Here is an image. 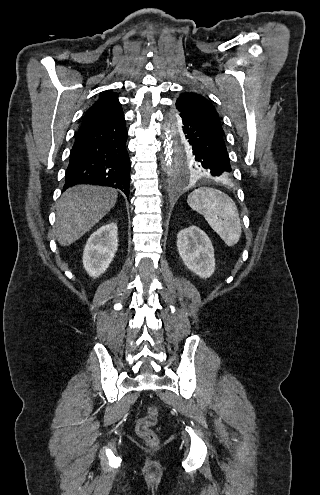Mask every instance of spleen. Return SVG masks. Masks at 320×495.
<instances>
[{
	"label": "spleen",
	"instance_id": "3e777b00",
	"mask_svg": "<svg viewBox=\"0 0 320 495\" xmlns=\"http://www.w3.org/2000/svg\"><path fill=\"white\" fill-rule=\"evenodd\" d=\"M187 203L204 216L227 246L238 243L242 233L239 213L228 195L217 189L201 187L190 193Z\"/></svg>",
	"mask_w": 320,
	"mask_h": 495
}]
</instances>
